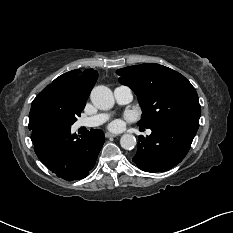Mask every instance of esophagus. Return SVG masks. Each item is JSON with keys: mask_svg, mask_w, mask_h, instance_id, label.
Wrapping results in <instances>:
<instances>
[{"mask_svg": "<svg viewBox=\"0 0 233 233\" xmlns=\"http://www.w3.org/2000/svg\"><path fill=\"white\" fill-rule=\"evenodd\" d=\"M105 136H106L107 138H114V137H116L117 135H116V134H113V133H110V132H106V133H105Z\"/></svg>", "mask_w": 233, "mask_h": 233, "instance_id": "esophagus-1", "label": "esophagus"}]
</instances>
